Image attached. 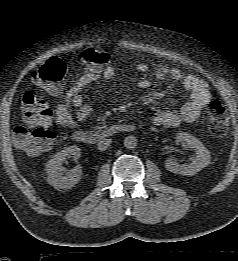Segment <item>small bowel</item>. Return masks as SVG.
I'll return each mask as SVG.
<instances>
[{"label": "small bowel", "mask_w": 238, "mask_h": 261, "mask_svg": "<svg viewBox=\"0 0 238 261\" xmlns=\"http://www.w3.org/2000/svg\"><path fill=\"white\" fill-rule=\"evenodd\" d=\"M154 76L163 80L166 78L182 85L189 92V101L179 110L161 111L153 117V123L158 126H178L183 122L196 121L203 109L209 103L211 95L205 81L194 75L187 74L183 70L165 65L153 63ZM136 70L144 73L149 69L145 62H139L135 66ZM115 67L109 65L101 72H85L78 81L65 93L63 100L59 102L53 111L56 125L63 128H75L78 122H84L93 114V108L85 102L82 90L100 78L110 79L115 75ZM152 82L148 78H142L138 82L140 90H148Z\"/></svg>", "instance_id": "c3829d8e"}]
</instances>
